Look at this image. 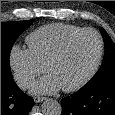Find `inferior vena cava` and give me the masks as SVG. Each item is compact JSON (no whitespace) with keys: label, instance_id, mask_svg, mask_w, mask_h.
I'll return each instance as SVG.
<instances>
[{"label":"inferior vena cava","instance_id":"inferior-vena-cava-1","mask_svg":"<svg viewBox=\"0 0 115 115\" xmlns=\"http://www.w3.org/2000/svg\"><path fill=\"white\" fill-rule=\"evenodd\" d=\"M17 84L21 89H26L30 84V79L26 77L18 78Z\"/></svg>","mask_w":115,"mask_h":115}]
</instances>
